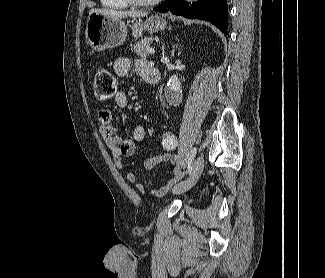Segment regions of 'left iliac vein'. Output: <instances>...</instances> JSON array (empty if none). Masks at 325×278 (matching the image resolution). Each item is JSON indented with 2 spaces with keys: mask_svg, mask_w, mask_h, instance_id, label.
Returning <instances> with one entry per match:
<instances>
[{
  "mask_svg": "<svg viewBox=\"0 0 325 278\" xmlns=\"http://www.w3.org/2000/svg\"><path fill=\"white\" fill-rule=\"evenodd\" d=\"M203 168L204 159L202 157H198L193 164L192 171L188 178L174 186L173 193L181 194L192 188L202 174Z\"/></svg>",
  "mask_w": 325,
  "mask_h": 278,
  "instance_id": "left-iliac-vein-1",
  "label": "left iliac vein"
}]
</instances>
